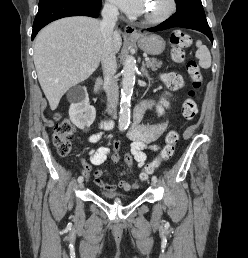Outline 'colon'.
Returning <instances> with one entry per match:
<instances>
[{"label": "colon", "instance_id": "colon-1", "mask_svg": "<svg viewBox=\"0 0 248 258\" xmlns=\"http://www.w3.org/2000/svg\"><path fill=\"white\" fill-rule=\"evenodd\" d=\"M170 44L172 46L171 54L174 61L178 63L186 64L187 71L190 75L192 86L188 92V98L182 104V116L191 120L195 118L198 113V107L195 100L197 91L202 86V73L198 63L195 60H187L184 52V48L188 47L191 44V37L180 30L172 31L170 35ZM167 82L170 88L178 89L181 86V81L174 76H167ZM58 123L55 125L52 139L53 143L61 156H67L72 149L71 136L75 133L74 124L67 119L60 120V116H56ZM179 139V134L177 130H170L166 135V144L163 147L159 157L151 164L147 165L142 171L138 178L140 181H146L151 174L154 173L156 166L163 161L170 159L175 150V144ZM122 146V141H113V158L115 160L119 157V149ZM124 162L123 167L125 169H134V154L131 152L123 153Z\"/></svg>", "mask_w": 248, "mask_h": 258}]
</instances>
